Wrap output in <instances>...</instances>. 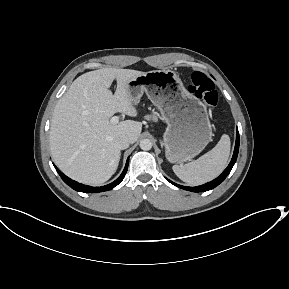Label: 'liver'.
Returning <instances> with one entry per match:
<instances>
[{"mask_svg": "<svg viewBox=\"0 0 289 289\" xmlns=\"http://www.w3.org/2000/svg\"><path fill=\"white\" fill-rule=\"evenodd\" d=\"M145 72L102 68L82 74L57 102L50 126L53 160L70 178L99 185L116 172L120 149L116 142L128 137L137 141L142 123L125 120L110 122L116 112L131 117L137 110L128 92V82ZM117 81L115 94L110 86Z\"/></svg>", "mask_w": 289, "mask_h": 289, "instance_id": "liver-1", "label": "liver"}]
</instances>
